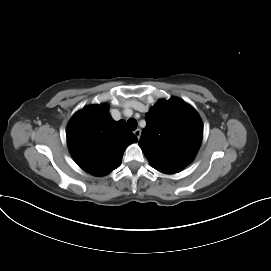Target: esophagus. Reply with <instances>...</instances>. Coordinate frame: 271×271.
<instances>
[{"instance_id": "obj_1", "label": "esophagus", "mask_w": 271, "mask_h": 271, "mask_svg": "<svg viewBox=\"0 0 271 271\" xmlns=\"http://www.w3.org/2000/svg\"><path fill=\"white\" fill-rule=\"evenodd\" d=\"M134 135L137 137V139L139 140L140 136H141V130L138 128L134 131Z\"/></svg>"}]
</instances>
